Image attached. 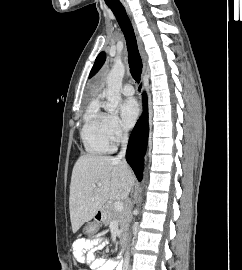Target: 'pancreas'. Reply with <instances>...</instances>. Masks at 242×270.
<instances>
[{"mask_svg": "<svg viewBox=\"0 0 242 270\" xmlns=\"http://www.w3.org/2000/svg\"><path fill=\"white\" fill-rule=\"evenodd\" d=\"M104 213L106 224H109L111 223V221L116 220L120 225L121 231H124L127 228L129 216L125 210L118 212L115 210L113 203H108L104 207Z\"/></svg>", "mask_w": 242, "mask_h": 270, "instance_id": "cf45deb5", "label": "pancreas"}]
</instances>
